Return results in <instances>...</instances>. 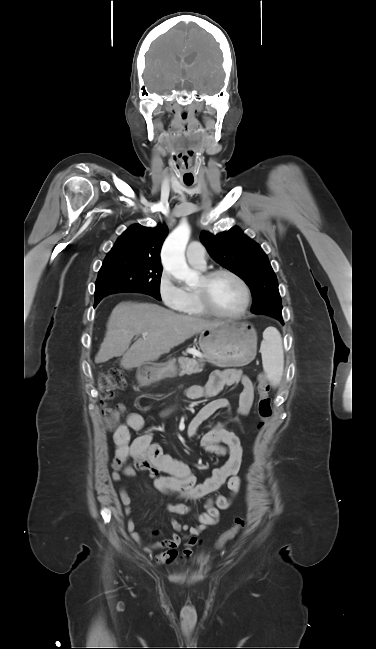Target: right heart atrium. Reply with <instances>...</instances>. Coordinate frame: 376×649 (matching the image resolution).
<instances>
[{"label": "right heart atrium", "instance_id": "1", "mask_svg": "<svg viewBox=\"0 0 376 649\" xmlns=\"http://www.w3.org/2000/svg\"><path fill=\"white\" fill-rule=\"evenodd\" d=\"M157 290L162 302L172 309H179L184 301V289L169 271L163 269L158 278Z\"/></svg>", "mask_w": 376, "mask_h": 649}]
</instances>
